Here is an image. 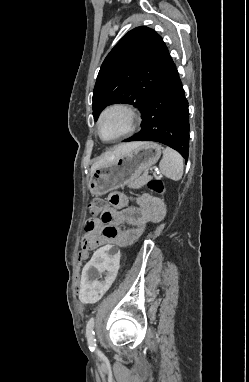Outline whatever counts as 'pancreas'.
<instances>
[{
    "label": "pancreas",
    "mask_w": 249,
    "mask_h": 382,
    "mask_svg": "<svg viewBox=\"0 0 249 382\" xmlns=\"http://www.w3.org/2000/svg\"><path fill=\"white\" fill-rule=\"evenodd\" d=\"M151 180V177L144 174L140 177L131 178L127 181V186L132 189H139L146 185Z\"/></svg>",
    "instance_id": "1"
}]
</instances>
